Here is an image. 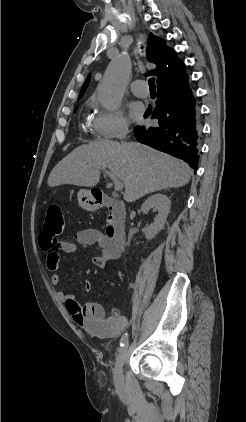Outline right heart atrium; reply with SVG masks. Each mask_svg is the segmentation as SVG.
Masks as SVG:
<instances>
[{
    "mask_svg": "<svg viewBox=\"0 0 246 422\" xmlns=\"http://www.w3.org/2000/svg\"><path fill=\"white\" fill-rule=\"evenodd\" d=\"M91 128L99 139L112 140L128 132L129 121L120 110H99L91 120Z\"/></svg>",
    "mask_w": 246,
    "mask_h": 422,
    "instance_id": "d8ad5b80",
    "label": "right heart atrium"
}]
</instances>
